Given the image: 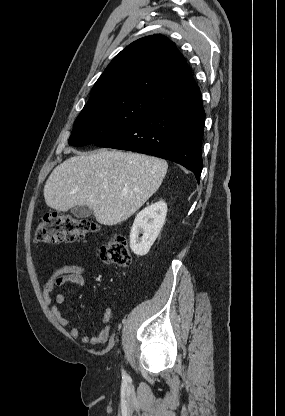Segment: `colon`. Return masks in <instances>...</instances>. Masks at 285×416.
I'll return each instance as SVG.
<instances>
[{
  "instance_id": "1",
  "label": "colon",
  "mask_w": 285,
  "mask_h": 416,
  "mask_svg": "<svg viewBox=\"0 0 285 416\" xmlns=\"http://www.w3.org/2000/svg\"><path fill=\"white\" fill-rule=\"evenodd\" d=\"M98 230V225L85 218L52 213L39 222L34 232L36 243L54 244L86 239ZM101 259L106 263L128 266L131 256L126 238L120 233H113L100 247Z\"/></svg>"
}]
</instances>
